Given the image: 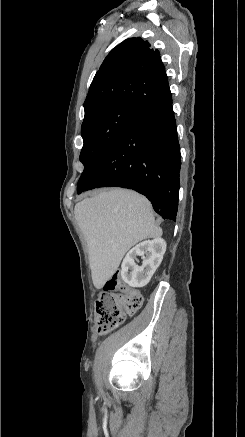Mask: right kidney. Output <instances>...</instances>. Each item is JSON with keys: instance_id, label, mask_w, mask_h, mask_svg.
<instances>
[{"instance_id": "ca27d5eb", "label": "right kidney", "mask_w": 245, "mask_h": 437, "mask_svg": "<svg viewBox=\"0 0 245 437\" xmlns=\"http://www.w3.org/2000/svg\"><path fill=\"white\" fill-rule=\"evenodd\" d=\"M166 251V242L161 238L141 242L125 256L121 265V277L131 287L141 288L147 285L162 262ZM141 256L142 265L135 263Z\"/></svg>"}]
</instances>
